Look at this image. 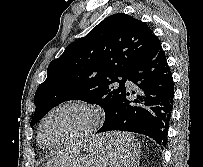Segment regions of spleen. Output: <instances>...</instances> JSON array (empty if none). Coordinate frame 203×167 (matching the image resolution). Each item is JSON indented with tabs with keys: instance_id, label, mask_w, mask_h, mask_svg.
Returning <instances> with one entry per match:
<instances>
[{
	"instance_id": "obj_1",
	"label": "spleen",
	"mask_w": 203,
	"mask_h": 167,
	"mask_svg": "<svg viewBox=\"0 0 203 167\" xmlns=\"http://www.w3.org/2000/svg\"><path fill=\"white\" fill-rule=\"evenodd\" d=\"M117 145L115 150L110 147L104 148V151L108 154L112 167H137L140 158V147L133 140L132 145L122 146L118 143H112ZM130 150L133 152L131 155Z\"/></svg>"
}]
</instances>
